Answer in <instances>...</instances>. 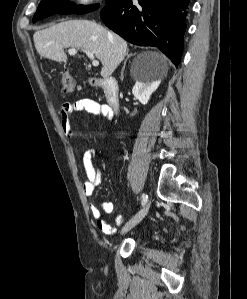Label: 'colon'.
Here are the masks:
<instances>
[{"label":"colon","mask_w":247,"mask_h":299,"mask_svg":"<svg viewBox=\"0 0 247 299\" xmlns=\"http://www.w3.org/2000/svg\"><path fill=\"white\" fill-rule=\"evenodd\" d=\"M61 82H62V88L64 93H71L75 90V81L73 77L67 73L64 72L61 75Z\"/></svg>","instance_id":"5ec220e1"}]
</instances>
